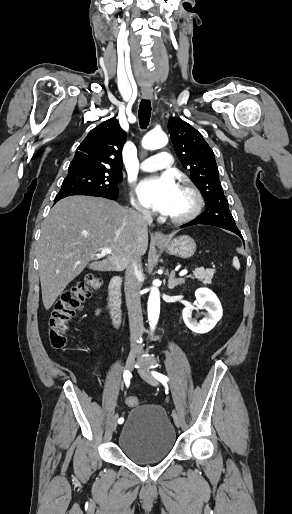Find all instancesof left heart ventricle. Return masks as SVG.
<instances>
[{"label":"left heart ventricle","mask_w":292,"mask_h":514,"mask_svg":"<svg viewBox=\"0 0 292 514\" xmlns=\"http://www.w3.org/2000/svg\"><path fill=\"white\" fill-rule=\"evenodd\" d=\"M191 204H192V201H191L190 196L186 192H184L180 189L178 196L176 198V201L174 203V206H173L172 210L170 211V214H174V215L184 214L190 209Z\"/></svg>","instance_id":"1"}]
</instances>
